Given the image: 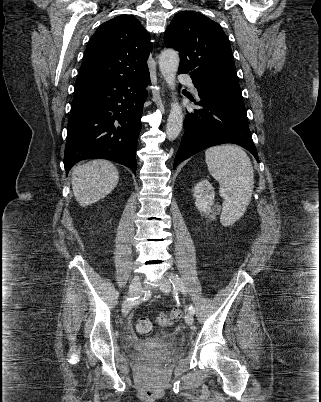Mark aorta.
I'll return each instance as SVG.
<instances>
[{
    "instance_id": "obj_1",
    "label": "aorta",
    "mask_w": 321,
    "mask_h": 402,
    "mask_svg": "<svg viewBox=\"0 0 321 402\" xmlns=\"http://www.w3.org/2000/svg\"><path fill=\"white\" fill-rule=\"evenodd\" d=\"M179 54L173 49H166L159 56V69L166 83L171 90H175V78L179 67ZM183 113L182 108L174 97L171 111L167 119L166 135L169 140L178 137L182 130Z\"/></svg>"
}]
</instances>
